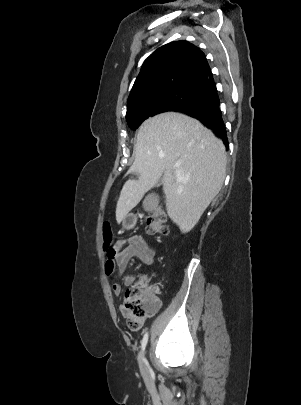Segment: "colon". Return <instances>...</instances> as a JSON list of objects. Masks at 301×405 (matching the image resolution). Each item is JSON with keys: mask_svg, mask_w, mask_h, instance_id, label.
<instances>
[{"mask_svg": "<svg viewBox=\"0 0 301 405\" xmlns=\"http://www.w3.org/2000/svg\"><path fill=\"white\" fill-rule=\"evenodd\" d=\"M146 230L151 235H166L168 233L167 216L164 211L157 209L147 218ZM103 247L107 259H112L117 252L113 242V232L109 222L102 225ZM159 297L156 287H143V282L130 287L121 305L122 312L129 327L138 330L145 320L152 316L158 309Z\"/></svg>", "mask_w": 301, "mask_h": 405, "instance_id": "5ec220e1", "label": "colon"}]
</instances>
